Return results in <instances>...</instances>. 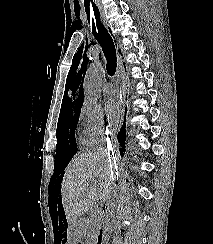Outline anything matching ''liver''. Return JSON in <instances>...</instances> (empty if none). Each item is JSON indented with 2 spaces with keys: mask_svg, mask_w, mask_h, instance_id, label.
Wrapping results in <instances>:
<instances>
[{
  "mask_svg": "<svg viewBox=\"0 0 213 244\" xmlns=\"http://www.w3.org/2000/svg\"><path fill=\"white\" fill-rule=\"evenodd\" d=\"M112 182V159L105 149L82 153L74 158L65 170L61 185L68 224L76 225L77 219L96 200L106 202L113 190Z\"/></svg>",
  "mask_w": 213,
  "mask_h": 244,
  "instance_id": "obj_1",
  "label": "liver"
}]
</instances>
